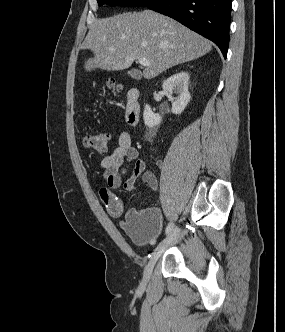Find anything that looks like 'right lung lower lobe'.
I'll list each match as a JSON object with an SVG mask.
<instances>
[{"instance_id":"obj_1","label":"right lung lower lobe","mask_w":285,"mask_h":332,"mask_svg":"<svg viewBox=\"0 0 285 332\" xmlns=\"http://www.w3.org/2000/svg\"><path fill=\"white\" fill-rule=\"evenodd\" d=\"M146 7L174 18L210 39L226 58L231 0H152Z\"/></svg>"}]
</instances>
